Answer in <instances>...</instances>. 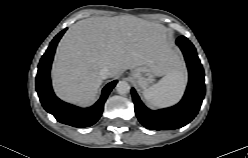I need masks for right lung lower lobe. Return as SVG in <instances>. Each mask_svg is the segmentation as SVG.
<instances>
[{
  "mask_svg": "<svg viewBox=\"0 0 248 158\" xmlns=\"http://www.w3.org/2000/svg\"><path fill=\"white\" fill-rule=\"evenodd\" d=\"M66 29L62 30L50 43L38 65L36 76V90L44 109L52 114L57 121L73 127H87L98 121L102 115L104 103L116 85L117 81L110 82L102 90L97 103L89 108H79L58 99L51 87L50 68L58 41Z\"/></svg>",
  "mask_w": 248,
  "mask_h": 158,
  "instance_id": "obj_1",
  "label": "right lung lower lobe"
}]
</instances>
